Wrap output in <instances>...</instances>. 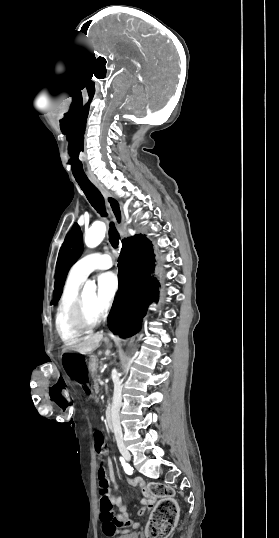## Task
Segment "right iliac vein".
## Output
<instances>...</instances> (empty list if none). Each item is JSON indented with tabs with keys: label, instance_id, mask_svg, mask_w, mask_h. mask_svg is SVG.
Listing matches in <instances>:
<instances>
[{
	"label": "right iliac vein",
	"instance_id": "obj_1",
	"mask_svg": "<svg viewBox=\"0 0 279 538\" xmlns=\"http://www.w3.org/2000/svg\"><path fill=\"white\" fill-rule=\"evenodd\" d=\"M123 456L126 460L130 461L131 460V455L129 453H123Z\"/></svg>",
	"mask_w": 279,
	"mask_h": 538
}]
</instances>
